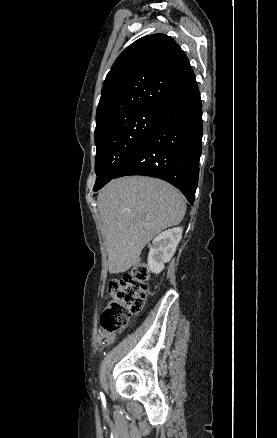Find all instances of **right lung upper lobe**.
I'll return each instance as SVG.
<instances>
[{"label":"right lung upper lobe","mask_w":277,"mask_h":438,"mask_svg":"<svg viewBox=\"0 0 277 438\" xmlns=\"http://www.w3.org/2000/svg\"><path fill=\"white\" fill-rule=\"evenodd\" d=\"M156 63L170 64L161 69ZM197 85L190 62L169 36L140 38L116 59L103 83L96 122L114 115L163 110L173 98Z\"/></svg>","instance_id":"cb5924a9"}]
</instances>
